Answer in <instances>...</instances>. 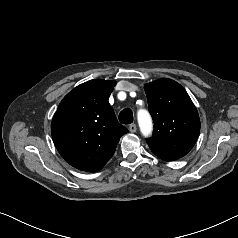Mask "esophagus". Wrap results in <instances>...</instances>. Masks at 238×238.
Listing matches in <instances>:
<instances>
[{
  "instance_id": "34e87169",
  "label": "esophagus",
  "mask_w": 238,
  "mask_h": 238,
  "mask_svg": "<svg viewBox=\"0 0 238 238\" xmlns=\"http://www.w3.org/2000/svg\"><path fill=\"white\" fill-rule=\"evenodd\" d=\"M136 130H137L136 124L133 123V124L129 125V131L130 132L134 133V132H136Z\"/></svg>"
}]
</instances>
